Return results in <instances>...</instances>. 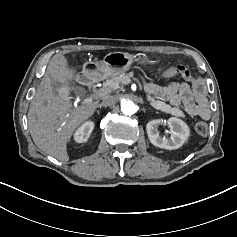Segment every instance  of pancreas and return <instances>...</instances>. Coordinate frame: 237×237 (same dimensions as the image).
I'll use <instances>...</instances> for the list:
<instances>
[{
  "label": "pancreas",
  "instance_id": "1",
  "mask_svg": "<svg viewBox=\"0 0 237 237\" xmlns=\"http://www.w3.org/2000/svg\"><path fill=\"white\" fill-rule=\"evenodd\" d=\"M131 74H120L118 76H112L110 79H107L105 82H103L102 89L107 93L113 92L120 83H123V81H127L129 78H131ZM147 100L150 101L151 105L156 108L160 109L161 111L165 113L172 114L174 116H181L183 117L184 114L179 108H173L170 105L165 104L161 101H156L153 99L150 95H147Z\"/></svg>",
  "mask_w": 237,
  "mask_h": 237
}]
</instances>
